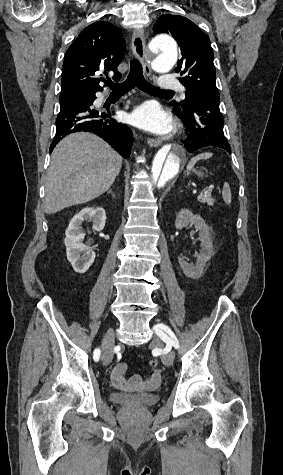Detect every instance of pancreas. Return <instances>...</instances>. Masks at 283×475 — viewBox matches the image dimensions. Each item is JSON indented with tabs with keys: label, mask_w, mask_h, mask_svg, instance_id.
I'll list each match as a JSON object with an SVG mask.
<instances>
[{
	"label": "pancreas",
	"mask_w": 283,
	"mask_h": 475,
	"mask_svg": "<svg viewBox=\"0 0 283 475\" xmlns=\"http://www.w3.org/2000/svg\"><path fill=\"white\" fill-rule=\"evenodd\" d=\"M198 202H201V204H208V206H214L215 200L211 198V194H206V196H198L197 198Z\"/></svg>",
	"instance_id": "1"
}]
</instances>
